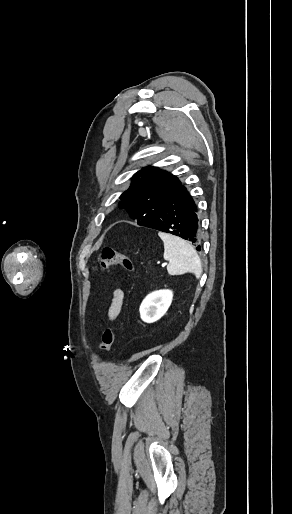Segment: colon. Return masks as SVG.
<instances>
[{
    "label": "colon",
    "instance_id": "5ec220e1",
    "mask_svg": "<svg viewBox=\"0 0 292 514\" xmlns=\"http://www.w3.org/2000/svg\"><path fill=\"white\" fill-rule=\"evenodd\" d=\"M114 266H122L127 270L133 269V263L129 255L121 253L113 246H105L101 250L100 256L95 261L98 271H105ZM117 338V331L114 327H107L99 342V350L107 353Z\"/></svg>",
    "mask_w": 292,
    "mask_h": 514
}]
</instances>
